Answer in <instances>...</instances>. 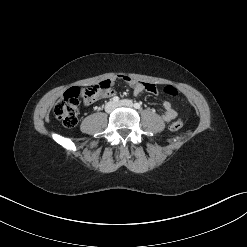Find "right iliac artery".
Listing matches in <instances>:
<instances>
[{"label": "right iliac artery", "mask_w": 247, "mask_h": 247, "mask_svg": "<svg viewBox=\"0 0 247 247\" xmlns=\"http://www.w3.org/2000/svg\"><path fill=\"white\" fill-rule=\"evenodd\" d=\"M112 100H113V102H115V103H116V102H118V101H119V97H118V96H115V97H113V99H112Z\"/></svg>", "instance_id": "1"}]
</instances>
